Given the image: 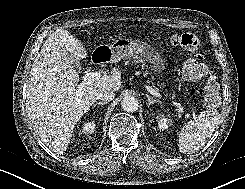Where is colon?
I'll return each instance as SVG.
<instances>
[{
	"mask_svg": "<svg viewBox=\"0 0 245 189\" xmlns=\"http://www.w3.org/2000/svg\"><path fill=\"white\" fill-rule=\"evenodd\" d=\"M173 46L180 47L189 52L198 51L200 48L199 39L191 33L174 34L170 37ZM183 78L189 82H199L207 78L206 92L201 98L204 107L215 108L221 103L219 95V84L216 78L211 75L205 62V55L199 54L198 57L189 59L183 66Z\"/></svg>",
	"mask_w": 245,
	"mask_h": 189,
	"instance_id": "colon-1",
	"label": "colon"
}]
</instances>
